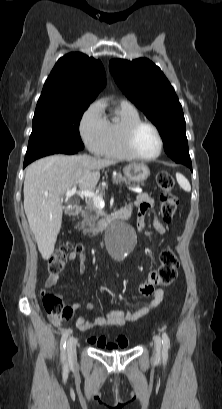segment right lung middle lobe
Returning <instances> with one entry per match:
<instances>
[{"label": "right lung middle lobe", "mask_w": 222, "mask_h": 409, "mask_svg": "<svg viewBox=\"0 0 222 409\" xmlns=\"http://www.w3.org/2000/svg\"><path fill=\"white\" fill-rule=\"evenodd\" d=\"M89 104H65L36 109L24 162L51 154H74L84 148L78 125Z\"/></svg>", "instance_id": "right-lung-middle-lobe-1"}]
</instances>
